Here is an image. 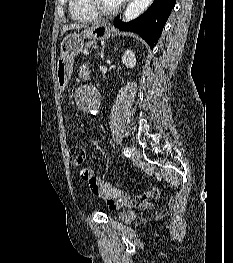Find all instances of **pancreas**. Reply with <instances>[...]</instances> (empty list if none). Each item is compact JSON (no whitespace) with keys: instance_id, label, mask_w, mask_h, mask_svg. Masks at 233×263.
I'll list each match as a JSON object with an SVG mask.
<instances>
[{"instance_id":"cf45deb5","label":"pancreas","mask_w":233,"mask_h":263,"mask_svg":"<svg viewBox=\"0 0 233 263\" xmlns=\"http://www.w3.org/2000/svg\"><path fill=\"white\" fill-rule=\"evenodd\" d=\"M90 47L96 48V47H97V42H95V41H90V42H87V43L85 44V48H90Z\"/></svg>"}]
</instances>
